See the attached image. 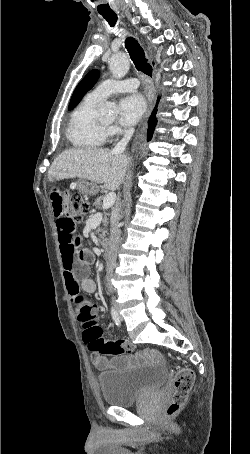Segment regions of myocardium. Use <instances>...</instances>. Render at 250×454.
<instances>
[{
    "mask_svg": "<svg viewBox=\"0 0 250 454\" xmlns=\"http://www.w3.org/2000/svg\"><path fill=\"white\" fill-rule=\"evenodd\" d=\"M99 122H100V125H101V127H102L103 129H105L106 131H109V128H110V125H109V124L105 123V122L102 121V120H99Z\"/></svg>",
    "mask_w": 250,
    "mask_h": 454,
    "instance_id": "myocardium-1",
    "label": "myocardium"
}]
</instances>
